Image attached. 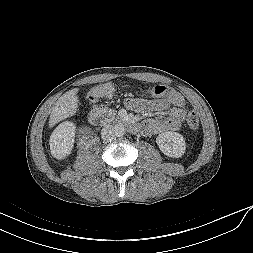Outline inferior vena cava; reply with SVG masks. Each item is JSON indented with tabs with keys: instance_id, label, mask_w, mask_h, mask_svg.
<instances>
[{
	"instance_id": "1",
	"label": "inferior vena cava",
	"mask_w": 253,
	"mask_h": 253,
	"mask_svg": "<svg viewBox=\"0 0 253 253\" xmlns=\"http://www.w3.org/2000/svg\"><path fill=\"white\" fill-rule=\"evenodd\" d=\"M101 137L104 141H112L115 137L114 127L111 125L104 126L101 130Z\"/></svg>"
}]
</instances>
